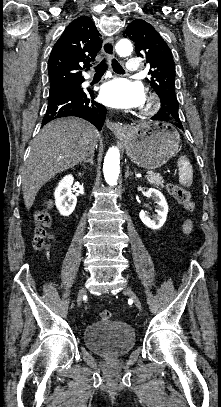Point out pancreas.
Instances as JSON below:
<instances>
[{
    "label": "pancreas",
    "instance_id": "cf45deb5",
    "mask_svg": "<svg viewBox=\"0 0 221 407\" xmlns=\"http://www.w3.org/2000/svg\"><path fill=\"white\" fill-rule=\"evenodd\" d=\"M147 181L156 187H159V186L163 187V183H164L163 178L160 176V174H154V173L147 176Z\"/></svg>",
    "mask_w": 221,
    "mask_h": 407
}]
</instances>
